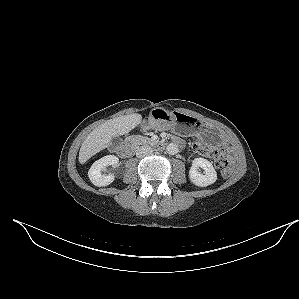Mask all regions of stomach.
<instances>
[{"label":"stomach","instance_id":"stomach-1","mask_svg":"<svg viewBox=\"0 0 299 299\" xmlns=\"http://www.w3.org/2000/svg\"><path fill=\"white\" fill-rule=\"evenodd\" d=\"M198 121H194V118L190 115L172 112L168 113L161 108H154L151 110L147 120L142 124L143 130H167L173 129L178 132H184L187 135L199 136L206 144L212 146H218L220 142V137H206L202 135L201 130L209 128L207 125L199 124Z\"/></svg>","mask_w":299,"mask_h":299}]
</instances>
